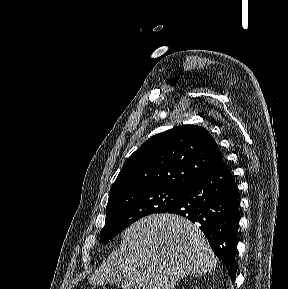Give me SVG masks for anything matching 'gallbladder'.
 I'll return each mask as SVG.
<instances>
[{
	"instance_id": "gallbladder-1",
	"label": "gallbladder",
	"mask_w": 288,
	"mask_h": 289,
	"mask_svg": "<svg viewBox=\"0 0 288 289\" xmlns=\"http://www.w3.org/2000/svg\"><path fill=\"white\" fill-rule=\"evenodd\" d=\"M123 280V275L120 272H116L115 276L108 282L110 284H119Z\"/></svg>"
}]
</instances>
